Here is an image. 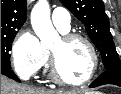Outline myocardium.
<instances>
[{
    "label": "myocardium",
    "instance_id": "myocardium-1",
    "mask_svg": "<svg viewBox=\"0 0 121 94\" xmlns=\"http://www.w3.org/2000/svg\"><path fill=\"white\" fill-rule=\"evenodd\" d=\"M61 38L64 42L80 40L86 45V47L89 50L90 57H91V70H90L88 76L85 79H83L82 81H78V82L69 81L62 76L60 69H59L57 56L51 50V75H52V78L58 84H61L63 86H68V87H78V86H83V85L89 83L96 75V73L98 71V67H99V57H98V54L96 52V49H95L93 43L86 36L79 34V33H65L62 35Z\"/></svg>",
    "mask_w": 121,
    "mask_h": 94
}]
</instances>
